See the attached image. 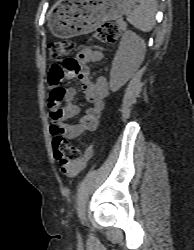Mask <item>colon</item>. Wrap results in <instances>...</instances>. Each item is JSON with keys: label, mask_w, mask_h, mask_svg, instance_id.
<instances>
[{"label": "colon", "mask_w": 194, "mask_h": 250, "mask_svg": "<svg viewBox=\"0 0 194 250\" xmlns=\"http://www.w3.org/2000/svg\"><path fill=\"white\" fill-rule=\"evenodd\" d=\"M121 31L114 23L99 25L94 33V38L100 42L115 43L119 40ZM74 44L70 40H60L49 44L48 52L52 60L64 59L73 49ZM63 75L50 71L49 83L53 86L50 93V101L60 104L64 97V88L61 86ZM53 151L56 161L62 170L80 158V148L70 145L67 139L60 133H53Z\"/></svg>", "instance_id": "5ec220e1"}]
</instances>
